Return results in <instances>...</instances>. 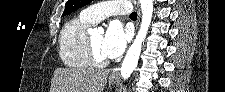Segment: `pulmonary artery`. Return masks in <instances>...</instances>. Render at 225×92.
<instances>
[{"label":"pulmonary artery","instance_id":"e3ab8cb5","mask_svg":"<svg viewBox=\"0 0 225 92\" xmlns=\"http://www.w3.org/2000/svg\"><path fill=\"white\" fill-rule=\"evenodd\" d=\"M129 8L130 3L128 1L100 2L84 9L81 16L96 24L112 14H125Z\"/></svg>","mask_w":225,"mask_h":92}]
</instances>
